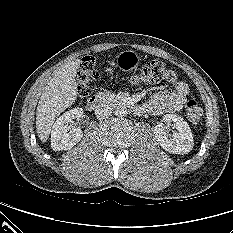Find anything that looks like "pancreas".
I'll list each match as a JSON object with an SVG mask.
<instances>
[{"mask_svg":"<svg viewBox=\"0 0 233 233\" xmlns=\"http://www.w3.org/2000/svg\"><path fill=\"white\" fill-rule=\"evenodd\" d=\"M97 96L104 102H112L116 99V95L110 91L99 92Z\"/></svg>","mask_w":233,"mask_h":233,"instance_id":"1","label":"pancreas"}]
</instances>
